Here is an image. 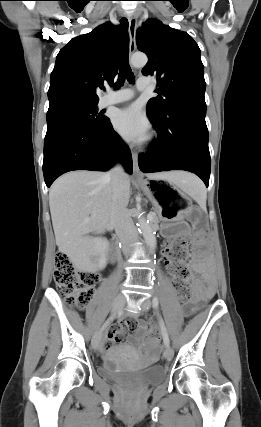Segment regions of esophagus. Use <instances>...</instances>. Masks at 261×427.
<instances>
[{"mask_svg": "<svg viewBox=\"0 0 261 427\" xmlns=\"http://www.w3.org/2000/svg\"><path fill=\"white\" fill-rule=\"evenodd\" d=\"M128 32H129V54L130 56L136 50V28H137V18L134 14H131L128 17ZM132 162H133V176L135 178H141L142 174L138 165V154L135 151H132Z\"/></svg>", "mask_w": 261, "mask_h": 427, "instance_id": "obj_1", "label": "esophagus"}]
</instances>
